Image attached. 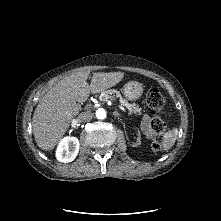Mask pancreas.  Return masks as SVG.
<instances>
[{
  "mask_svg": "<svg viewBox=\"0 0 221 221\" xmlns=\"http://www.w3.org/2000/svg\"><path fill=\"white\" fill-rule=\"evenodd\" d=\"M114 95L119 98V103L121 106H124L128 109L129 113H135V114H141V108L139 107V105L135 104V103H129L126 99H124L122 97V95L120 94L119 91L114 90V89H110L107 91H104L100 94V99L102 100H106L109 97H114Z\"/></svg>",
  "mask_w": 221,
  "mask_h": 221,
  "instance_id": "obj_1",
  "label": "pancreas"
}]
</instances>
